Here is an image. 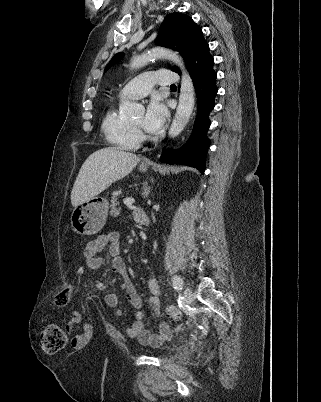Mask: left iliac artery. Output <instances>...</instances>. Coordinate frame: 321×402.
Segmentation results:
<instances>
[{"label":"left iliac artery","mask_w":321,"mask_h":402,"mask_svg":"<svg viewBox=\"0 0 321 402\" xmlns=\"http://www.w3.org/2000/svg\"><path fill=\"white\" fill-rule=\"evenodd\" d=\"M172 281H173V286H174V288H175L176 290H182V288H183V281H182V279H181L179 276L175 275V276L173 277Z\"/></svg>","instance_id":"44dca946"}]
</instances>
